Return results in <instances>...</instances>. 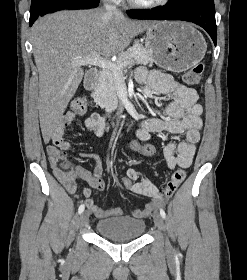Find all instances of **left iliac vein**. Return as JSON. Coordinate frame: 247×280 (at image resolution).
I'll use <instances>...</instances> for the list:
<instances>
[{
  "instance_id": "left-iliac-vein-1",
  "label": "left iliac vein",
  "mask_w": 247,
  "mask_h": 280,
  "mask_svg": "<svg viewBox=\"0 0 247 280\" xmlns=\"http://www.w3.org/2000/svg\"><path fill=\"white\" fill-rule=\"evenodd\" d=\"M153 217H154L155 225L158 227L159 230L164 232L165 231V224H164V220H163L162 216L158 213H155ZM165 244H166V248L170 249V243L167 239H166Z\"/></svg>"
}]
</instances>
